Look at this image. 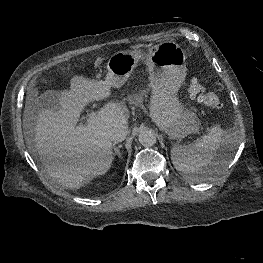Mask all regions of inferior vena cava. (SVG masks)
I'll return each instance as SVG.
<instances>
[{
	"label": "inferior vena cava",
	"mask_w": 263,
	"mask_h": 263,
	"mask_svg": "<svg viewBox=\"0 0 263 263\" xmlns=\"http://www.w3.org/2000/svg\"><path fill=\"white\" fill-rule=\"evenodd\" d=\"M127 132V128L125 127H115L110 130L109 138L114 144H116L126 139Z\"/></svg>",
	"instance_id": "inferior-vena-cava-1"
}]
</instances>
